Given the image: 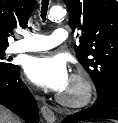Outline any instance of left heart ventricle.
Here are the masks:
<instances>
[{"label": "left heart ventricle", "instance_id": "1", "mask_svg": "<svg viewBox=\"0 0 118 123\" xmlns=\"http://www.w3.org/2000/svg\"><path fill=\"white\" fill-rule=\"evenodd\" d=\"M78 92H79V87L70 81L69 85L62 92V94L69 96V97H76L78 95Z\"/></svg>", "mask_w": 118, "mask_h": 123}]
</instances>
